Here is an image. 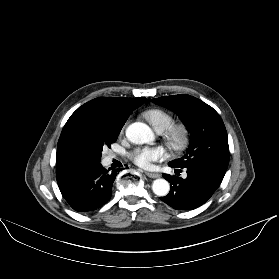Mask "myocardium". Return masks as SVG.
<instances>
[{"mask_svg": "<svg viewBox=\"0 0 279 279\" xmlns=\"http://www.w3.org/2000/svg\"><path fill=\"white\" fill-rule=\"evenodd\" d=\"M163 136L166 143L172 150L181 152L188 144L189 129L183 123L172 124L165 130Z\"/></svg>", "mask_w": 279, "mask_h": 279, "instance_id": "1", "label": "myocardium"}]
</instances>
